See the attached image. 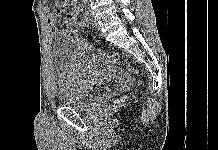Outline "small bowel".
Masks as SVG:
<instances>
[{
    "mask_svg": "<svg viewBox=\"0 0 218 150\" xmlns=\"http://www.w3.org/2000/svg\"><path fill=\"white\" fill-rule=\"evenodd\" d=\"M56 8L53 11H50L47 5H44V10L47 13V23L52 37H61L65 36L67 31L60 28L57 24V18L61 13L64 12L63 7L65 5L75 6L77 0H54Z\"/></svg>",
    "mask_w": 218,
    "mask_h": 150,
    "instance_id": "small-bowel-1",
    "label": "small bowel"
}]
</instances>
